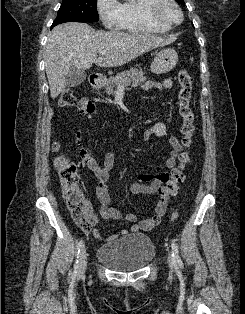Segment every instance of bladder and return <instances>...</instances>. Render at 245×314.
I'll list each match as a JSON object with an SVG mask.
<instances>
[{
	"label": "bladder",
	"instance_id": "obj_1",
	"mask_svg": "<svg viewBox=\"0 0 245 314\" xmlns=\"http://www.w3.org/2000/svg\"><path fill=\"white\" fill-rule=\"evenodd\" d=\"M155 257V246L147 235L130 234L97 250L96 258L102 264L120 271L145 267Z\"/></svg>",
	"mask_w": 245,
	"mask_h": 314
}]
</instances>
